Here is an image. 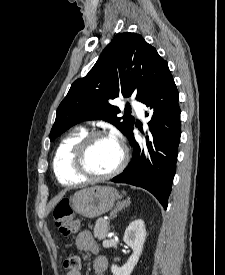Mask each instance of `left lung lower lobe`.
I'll return each mask as SVG.
<instances>
[{
	"mask_svg": "<svg viewBox=\"0 0 225 275\" xmlns=\"http://www.w3.org/2000/svg\"><path fill=\"white\" fill-rule=\"evenodd\" d=\"M178 101V90L168 69L141 99L152 113L145 142L136 141L133 126L128 130L126 137L133 148L132 159L128 167L112 179L116 183L145 188L164 209L172 189L180 142ZM145 115L149 116L148 113Z\"/></svg>",
	"mask_w": 225,
	"mask_h": 275,
	"instance_id": "left-lung-lower-lobe-1",
	"label": "left lung lower lobe"
}]
</instances>
